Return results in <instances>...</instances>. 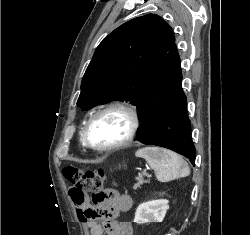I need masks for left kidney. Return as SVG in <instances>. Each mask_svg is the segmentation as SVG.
Returning a JSON list of instances; mask_svg holds the SVG:
<instances>
[{
	"label": "left kidney",
	"instance_id": "5707ae66",
	"mask_svg": "<svg viewBox=\"0 0 250 235\" xmlns=\"http://www.w3.org/2000/svg\"><path fill=\"white\" fill-rule=\"evenodd\" d=\"M168 203V200L160 199L140 204L136 210L134 222L137 224L162 222L169 209Z\"/></svg>",
	"mask_w": 250,
	"mask_h": 235
}]
</instances>
